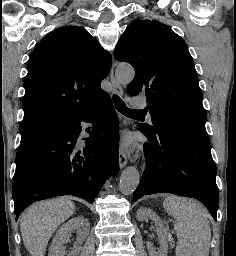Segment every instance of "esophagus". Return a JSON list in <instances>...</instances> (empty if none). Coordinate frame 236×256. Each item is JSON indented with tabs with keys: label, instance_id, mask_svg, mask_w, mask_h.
I'll use <instances>...</instances> for the list:
<instances>
[{
	"label": "esophagus",
	"instance_id": "obj_1",
	"mask_svg": "<svg viewBox=\"0 0 236 256\" xmlns=\"http://www.w3.org/2000/svg\"><path fill=\"white\" fill-rule=\"evenodd\" d=\"M110 81H111L114 93H116L117 95H123V89H122L120 83L115 78L113 68H112L111 74H110ZM127 161H128L127 155L124 151L123 146L121 145V148L119 151V166H120V168H123L127 164Z\"/></svg>",
	"mask_w": 236,
	"mask_h": 256
}]
</instances>
